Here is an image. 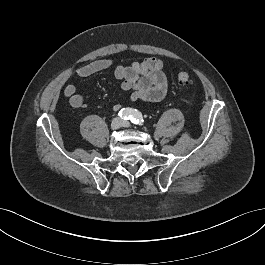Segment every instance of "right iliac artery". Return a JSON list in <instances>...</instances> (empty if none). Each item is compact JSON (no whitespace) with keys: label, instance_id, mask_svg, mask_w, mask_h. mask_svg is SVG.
I'll return each instance as SVG.
<instances>
[{"label":"right iliac artery","instance_id":"1","mask_svg":"<svg viewBox=\"0 0 265 265\" xmlns=\"http://www.w3.org/2000/svg\"><path fill=\"white\" fill-rule=\"evenodd\" d=\"M134 110L131 108H123L120 110V112L118 113V115L124 119V120H128L130 119V117L132 116Z\"/></svg>","mask_w":265,"mask_h":265}]
</instances>
